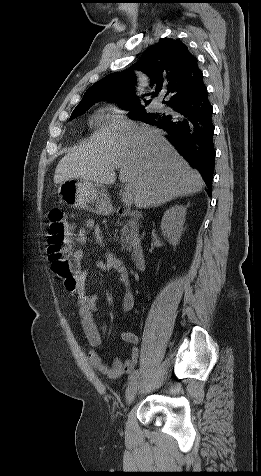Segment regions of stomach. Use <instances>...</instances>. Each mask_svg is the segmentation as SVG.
Listing matches in <instances>:
<instances>
[{
  "instance_id": "obj_1",
  "label": "stomach",
  "mask_w": 261,
  "mask_h": 476,
  "mask_svg": "<svg viewBox=\"0 0 261 476\" xmlns=\"http://www.w3.org/2000/svg\"><path fill=\"white\" fill-rule=\"evenodd\" d=\"M59 190L73 208L102 215H108L112 210L107 189L103 186L82 179H69L60 184Z\"/></svg>"
}]
</instances>
